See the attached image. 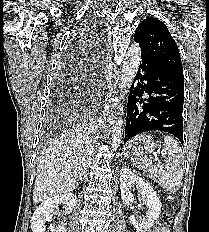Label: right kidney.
Here are the masks:
<instances>
[{
    "label": "right kidney",
    "instance_id": "obj_1",
    "mask_svg": "<svg viewBox=\"0 0 209 232\" xmlns=\"http://www.w3.org/2000/svg\"><path fill=\"white\" fill-rule=\"evenodd\" d=\"M62 204L65 214H70L76 205V195L73 193H64L48 198L43 201L35 210L31 220L32 232H66L62 225L50 227L47 230L46 223L51 220L55 214V209Z\"/></svg>",
    "mask_w": 209,
    "mask_h": 232
}]
</instances>
